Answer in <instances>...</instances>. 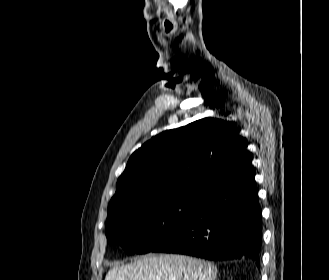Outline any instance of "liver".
<instances>
[{"mask_svg":"<svg viewBox=\"0 0 329 280\" xmlns=\"http://www.w3.org/2000/svg\"><path fill=\"white\" fill-rule=\"evenodd\" d=\"M217 269L208 261L177 254L146 255L115 264L105 280H215Z\"/></svg>","mask_w":329,"mask_h":280,"instance_id":"liver-1","label":"liver"}]
</instances>
